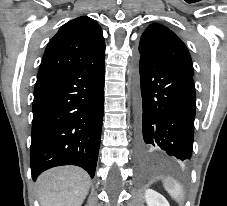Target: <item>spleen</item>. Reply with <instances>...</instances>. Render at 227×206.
Masks as SVG:
<instances>
[{"instance_id":"spleen-1","label":"spleen","mask_w":227,"mask_h":206,"mask_svg":"<svg viewBox=\"0 0 227 206\" xmlns=\"http://www.w3.org/2000/svg\"><path fill=\"white\" fill-rule=\"evenodd\" d=\"M164 187L176 201H179L183 197V188L175 179L167 177Z\"/></svg>"}]
</instances>
